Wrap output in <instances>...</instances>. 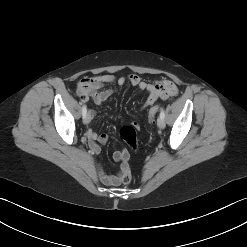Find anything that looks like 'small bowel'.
Wrapping results in <instances>:
<instances>
[{"label":"small bowel","mask_w":247,"mask_h":247,"mask_svg":"<svg viewBox=\"0 0 247 247\" xmlns=\"http://www.w3.org/2000/svg\"><path fill=\"white\" fill-rule=\"evenodd\" d=\"M127 81L132 86L147 92L146 101L142 106L143 109L152 106L158 99H170L178 93L175 83L168 79H162L154 83H147L136 74H130L128 78H116L111 74H101L80 80L77 85V94L84 102L91 100L95 104H101L115 92L113 88H104L105 85L116 83L118 86L122 87ZM86 135L92 141L91 148L96 154L100 152V148L94 143V141L96 140L100 143H106L108 140L106 134H96L92 130H88ZM113 157L116 161L123 162V157L120 151H116ZM124 170L125 167L122 165L120 173L107 175L99 166L98 175L104 184L117 186L121 182V174Z\"/></svg>","instance_id":"1"}]
</instances>
